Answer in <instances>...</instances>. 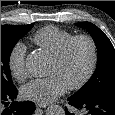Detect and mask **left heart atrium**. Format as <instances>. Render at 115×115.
<instances>
[{"instance_id": "39dd6f15", "label": "left heart atrium", "mask_w": 115, "mask_h": 115, "mask_svg": "<svg viewBox=\"0 0 115 115\" xmlns=\"http://www.w3.org/2000/svg\"><path fill=\"white\" fill-rule=\"evenodd\" d=\"M67 85L57 75L34 79L21 89V96L36 103L47 104L65 93Z\"/></svg>"}]
</instances>
